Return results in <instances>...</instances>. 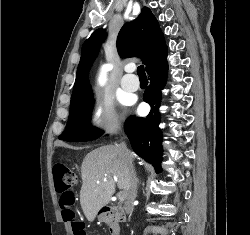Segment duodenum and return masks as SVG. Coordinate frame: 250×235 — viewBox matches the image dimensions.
<instances>
[{
    "mask_svg": "<svg viewBox=\"0 0 250 235\" xmlns=\"http://www.w3.org/2000/svg\"><path fill=\"white\" fill-rule=\"evenodd\" d=\"M104 222L112 235H120V225L125 222V213L122 208L114 206L103 211Z\"/></svg>",
    "mask_w": 250,
    "mask_h": 235,
    "instance_id": "obj_1",
    "label": "duodenum"
}]
</instances>
